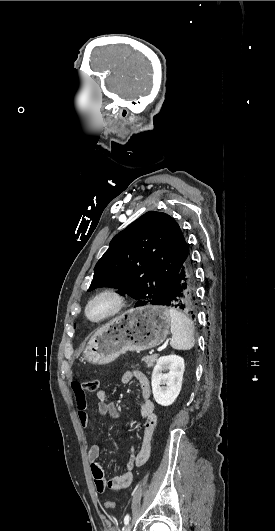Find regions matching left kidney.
<instances>
[{"label": "left kidney", "instance_id": "obj_1", "mask_svg": "<svg viewBox=\"0 0 275 531\" xmlns=\"http://www.w3.org/2000/svg\"><path fill=\"white\" fill-rule=\"evenodd\" d=\"M167 369L169 373H162ZM184 369V359L178 355H167L158 359L151 379L153 397L158 405L168 407L177 399L182 387Z\"/></svg>", "mask_w": 275, "mask_h": 531}]
</instances>
